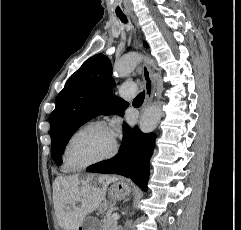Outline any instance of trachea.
Segmentation results:
<instances>
[{
    "label": "trachea",
    "instance_id": "3493384b",
    "mask_svg": "<svg viewBox=\"0 0 241 230\" xmlns=\"http://www.w3.org/2000/svg\"><path fill=\"white\" fill-rule=\"evenodd\" d=\"M117 16L120 18V20L124 23H127V18L122 13H117ZM144 101V92H141L137 95V97L133 100L134 103H143Z\"/></svg>",
    "mask_w": 241,
    "mask_h": 230
}]
</instances>
